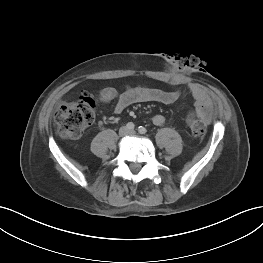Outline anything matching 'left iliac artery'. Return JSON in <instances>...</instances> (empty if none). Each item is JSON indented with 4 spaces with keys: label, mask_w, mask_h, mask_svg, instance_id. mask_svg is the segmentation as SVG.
<instances>
[{
    "label": "left iliac artery",
    "mask_w": 263,
    "mask_h": 263,
    "mask_svg": "<svg viewBox=\"0 0 263 263\" xmlns=\"http://www.w3.org/2000/svg\"><path fill=\"white\" fill-rule=\"evenodd\" d=\"M138 132H139L140 134H145V133L147 132V130H146L145 127L140 126V127L138 128Z\"/></svg>",
    "instance_id": "left-iliac-artery-1"
}]
</instances>
